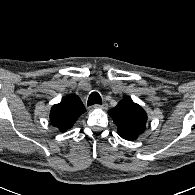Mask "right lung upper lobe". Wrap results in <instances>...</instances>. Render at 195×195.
Returning a JSON list of instances; mask_svg holds the SVG:
<instances>
[{
  "label": "right lung upper lobe",
  "mask_w": 195,
  "mask_h": 195,
  "mask_svg": "<svg viewBox=\"0 0 195 195\" xmlns=\"http://www.w3.org/2000/svg\"><path fill=\"white\" fill-rule=\"evenodd\" d=\"M85 111L81 99L75 94H70L52 107L50 121L60 132H65L73 127L78 117Z\"/></svg>",
  "instance_id": "obj_1"
}]
</instances>
